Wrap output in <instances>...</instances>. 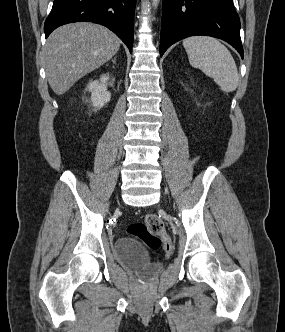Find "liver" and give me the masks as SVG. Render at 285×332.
<instances>
[{"label": "liver", "mask_w": 285, "mask_h": 332, "mask_svg": "<svg viewBox=\"0 0 285 332\" xmlns=\"http://www.w3.org/2000/svg\"><path fill=\"white\" fill-rule=\"evenodd\" d=\"M121 41L104 26L77 22L57 28L45 46V69L50 87L63 95L79 79L109 61Z\"/></svg>", "instance_id": "6515ba94"}]
</instances>
